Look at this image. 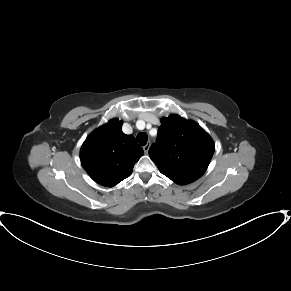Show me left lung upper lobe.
I'll return each mask as SVG.
<instances>
[{"label":"left lung upper lobe","mask_w":291,"mask_h":291,"mask_svg":"<svg viewBox=\"0 0 291 291\" xmlns=\"http://www.w3.org/2000/svg\"><path fill=\"white\" fill-rule=\"evenodd\" d=\"M159 144L149 150V156L162 174L184 185L200 178L213 156L212 138L194 121L178 115L161 120Z\"/></svg>","instance_id":"left-lung-upper-lobe-1"}]
</instances>
